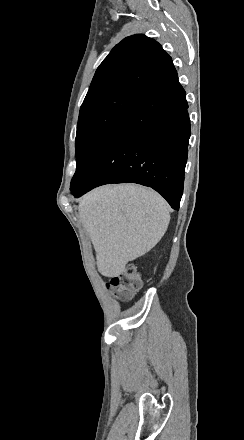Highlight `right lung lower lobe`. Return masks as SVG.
<instances>
[{
    "instance_id": "obj_1",
    "label": "right lung lower lobe",
    "mask_w": 244,
    "mask_h": 440,
    "mask_svg": "<svg viewBox=\"0 0 244 440\" xmlns=\"http://www.w3.org/2000/svg\"><path fill=\"white\" fill-rule=\"evenodd\" d=\"M177 73L141 97L99 147L70 186L80 197L108 183L152 187L174 209L183 193L190 120Z\"/></svg>"
}]
</instances>
